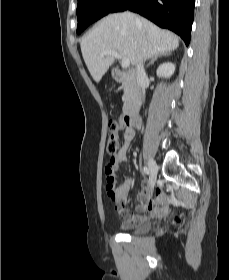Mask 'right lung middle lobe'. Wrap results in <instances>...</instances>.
Instances as JSON below:
<instances>
[{
    "label": "right lung middle lobe",
    "mask_w": 229,
    "mask_h": 280,
    "mask_svg": "<svg viewBox=\"0 0 229 280\" xmlns=\"http://www.w3.org/2000/svg\"><path fill=\"white\" fill-rule=\"evenodd\" d=\"M118 0H78L77 34L88 25L109 14Z\"/></svg>",
    "instance_id": "1"
}]
</instances>
